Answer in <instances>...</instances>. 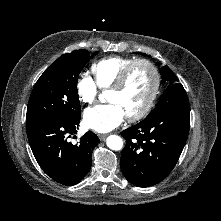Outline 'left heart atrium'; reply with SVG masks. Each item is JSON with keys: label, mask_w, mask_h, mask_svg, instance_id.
Returning <instances> with one entry per match:
<instances>
[{"label": "left heart atrium", "mask_w": 221, "mask_h": 221, "mask_svg": "<svg viewBox=\"0 0 221 221\" xmlns=\"http://www.w3.org/2000/svg\"><path fill=\"white\" fill-rule=\"evenodd\" d=\"M125 116L119 104L109 103L87 109L84 113V123L97 132H108L118 127Z\"/></svg>", "instance_id": "39dd6f15"}]
</instances>
